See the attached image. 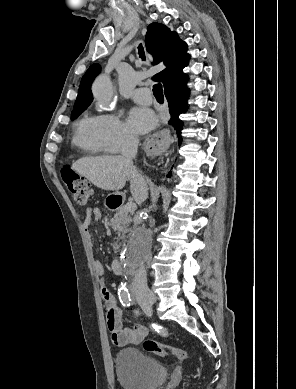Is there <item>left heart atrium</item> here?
<instances>
[{
	"label": "left heart atrium",
	"instance_id": "left-heart-atrium-1",
	"mask_svg": "<svg viewBox=\"0 0 296 389\" xmlns=\"http://www.w3.org/2000/svg\"><path fill=\"white\" fill-rule=\"evenodd\" d=\"M129 124L136 133H146L155 125L154 113L145 107H133L128 114Z\"/></svg>",
	"mask_w": 296,
	"mask_h": 389
}]
</instances>
